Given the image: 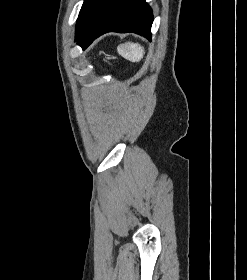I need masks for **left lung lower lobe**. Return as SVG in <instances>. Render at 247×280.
I'll list each match as a JSON object with an SVG mask.
<instances>
[{
	"instance_id": "left-lung-lower-lobe-1",
	"label": "left lung lower lobe",
	"mask_w": 247,
	"mask_h": 280,
	"mask_svg": "<svg viewBox=\"0 0 247 280\" xmlns=\"http://www.w3.org/2000/svg\"><path fill=\"white\" fill-rule=\"evenodd\" d=\"M152 10L145 0H101L90 12L75 40L87 48L100 35L134 32L151 38Z\"/></svg>"
}]
</instances>
